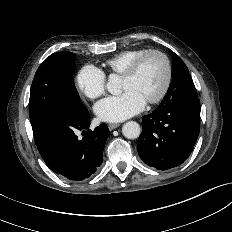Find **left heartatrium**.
<instances>
[{
	"label": "left heart atrium",
	"instance_id": "left-heart-atrium-1",
	"mask_svg": "<svg viewBox=\"0 0 232 232\" xmlns=\"http://www.w3.org/2000/svg\"><path fill=\"white\" fill-rule=\"evenodd\" d=\"M145 103L136 92L127 90L99 101L95 105V113L102 121L120 122L142 111Z\"/></svg>",
	"mask_w": 232,
	"mask_h": 232
}]
</instances>
